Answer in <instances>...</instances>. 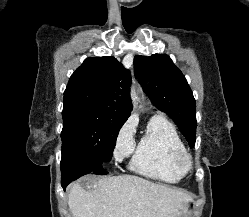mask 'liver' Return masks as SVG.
I'll use <instances>...</instances> for the list:
<instances>
[{"instance_id":"6515ba94","label":"liver","mask_w":249,"mask_h":217,"mask_svg":"<svg viewBox=\"0 0 249 217\" xmlns=\"http://www.w3.org/2000/svg\"><path fill=\"white\" fill-rule=\"evenodd\" d=\"M68 195L73 217H175L190 197L133 175L88 178Z\"/></svg>"}]
</instances>
